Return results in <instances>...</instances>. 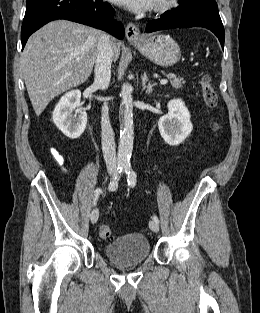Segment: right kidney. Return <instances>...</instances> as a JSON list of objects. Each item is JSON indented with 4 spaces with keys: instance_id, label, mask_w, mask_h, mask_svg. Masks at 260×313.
I'll list each match as a JSON object with an SVG mask.
<instances>
[{
    "instance_id": "ca27d5eb",
    "label": "right kidney",
    "mask_w": 260,
    "mask_h": 313,
    "mask_svg": "<svg viewBox=\"0 0 260 313\" xmlns=\"http://www.w3.org/2000/svg\"><path fill=\"white\" fill-rule=\"evenodd\" d=\"M80 99L81 92L72 90L61 97L53 111L54 124L70 139L79 138L86 128L87 114L80 107Z\"/></svg>"
}]
</instances>
